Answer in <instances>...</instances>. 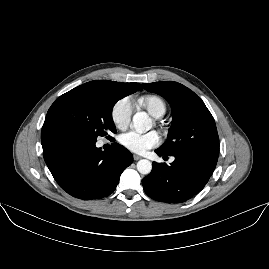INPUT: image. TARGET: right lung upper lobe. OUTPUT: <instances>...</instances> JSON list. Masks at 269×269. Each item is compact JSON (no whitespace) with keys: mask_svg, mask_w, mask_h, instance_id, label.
<instances>
[{"mask_svg":"<svg viewBox=\"0 0 269 269\" xmlns=\"http://www.w3.org/2000/svg\"><path fill=\"white\" fill-rule=\"evenodd\" d=\"M80 87H86L101 92H107L122 97H125L138 90L143 89L139 83H122L105 80L90 81L81 85Z\"/></svg>","mask_w":269,"mask_h":269,"instance_id":"cb5924a9","label":"right lung upper lobe"}]
</instances>
